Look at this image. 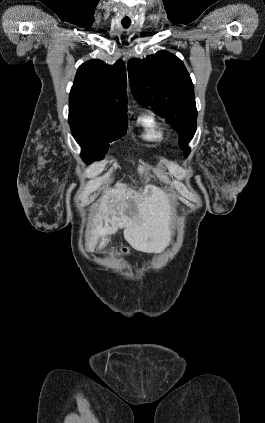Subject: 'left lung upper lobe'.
I'll return each mask as SVG.
<instances>
[{"instance_id":"1","label":"left lung upper lobe","mask_w":265,"mask_h":423,"mask_svg":"<svg viewBox=\"0 0 265 423\" xmlns=\"http://www.w3.org/2000/svg\"><path fill=\"white\" fill-rule=\"evenodd\" d=\"M128 73L134 98L172 124L187 157L188 143L196 131L197 110L194 86L183 62L169 52L159 51L143 60L131 59Z\"/></svg>"}]
</instances>
